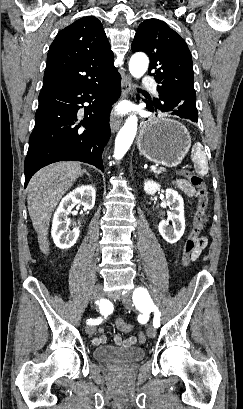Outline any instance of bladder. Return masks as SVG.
<instances>
[{"mask_svg":"<svg viewBox=\"0 0 243 409\" xmlns=\"http://www.w3.org/2000/svg\"><path fill=\"white\" fill-rule=\"evenodd\" d=\"M93 356L99 362L130 364L142 360L145 356V350L141 347L104 345L96 347L93 351Z\"/></svg>","mask_w":243,"mask_h":409,"instance_id":"1","label":"bladder"}]
</instances>
